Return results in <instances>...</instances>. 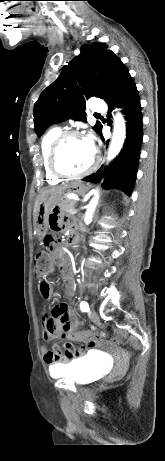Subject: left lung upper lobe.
<instances>
[{
	"mask_svg": "<svg viewBox=\"0 0 165 461\" xmlns=\"http://www.w3.org/2000/svg\"><path fill=\"white\" fill-rule=\"evenodd\" d=\"M127 67L103 43L85 44L34 105V130L41 136L52 123L68 119L86 121V99H106ZM93 129H102L96 123Z\"/></svg>",
	"mask_w": 165,
	"mask_h": 461,
	"instance_id": "obj_1",
	"label": "left lung upper lobe"
}]
</instances>
